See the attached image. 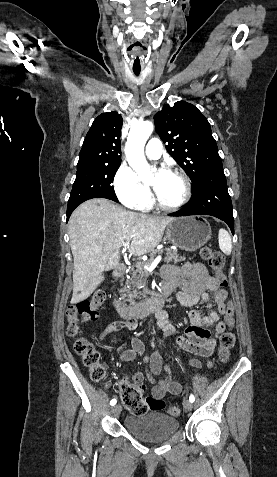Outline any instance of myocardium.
<instances>
[{"label":"myocardium","mask_w":277,"mask_h":477,"mask_svg":"<svg viewBox=\"0 0 277 477\" xmlns=\"http://www.w3.org/2000/svg\"><path fill=\"white\" fill-rule=\"evenodd\" d=\"M168 172L178 176L182 180L184 185V194L182 199L174 205H167L162 202L155 190H153V197L154 203L159 209L166 212H174L183 208L190 201L192 196V184L189 176L185 172L178 169H174Z\"/></svg>","instance_id":"myocardium-1"}]
</instances>
